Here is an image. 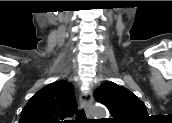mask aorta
<instances>
[{"label": "aorta", "mask_w": 172, "mask_h": 123, "mask_svg": "<svg viewBox=\"0 0 172 123\" xmlns=\"http://www.w3.org/2000/svg\"><path fill=\"white\" fill-rule=\"evenodd\" d=\"M90 113L95 118H104L107 115V109L104 106L94 105L90 108Z\"/></svg>", "instance_id": "762f6f07"}]
</instances>
